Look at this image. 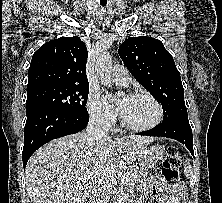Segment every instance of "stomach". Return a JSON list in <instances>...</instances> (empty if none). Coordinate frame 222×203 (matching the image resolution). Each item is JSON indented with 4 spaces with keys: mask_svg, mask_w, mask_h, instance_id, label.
<instances>
[{
    "mask_svg": "<svg viewBox=\"0 0 222 203\" xmlns=\"http://www.w3.org/2000/svg\"><path fill=\"white\" fill-rule=\"evenodd\" d=\"M164 153L165 147L158 144L142 149L138 154V161L141 169L144 171L151 169L157 161L163 157Z\"/></svg>",
    "mask_w": 222,
    "mask_h": 203,
    "instance_id": "0dacf381",
    "label": "stomach"
}]
</instances>
